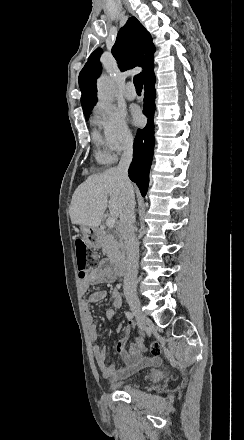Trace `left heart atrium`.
I'll use <instances>...</instances> for the list:
<instances>
[{
    "label": "left heart atrium",
    "instance_id": "39dd6f15",
    "mask_svg": "<svg viewBox=\"0 0 244 440\" xmlns=\"http://www.w3.org/2000/svg\"><path fill=\"white\" fill-rule=\"evenodd\" d=\"M133 115H134V120H135L136 123H140L143 120V116H142L141 112L138 109H136L134 111Z\"/></svg>",
    "mask_w": 244,
    "mask_h": 440
}]
</instances>
